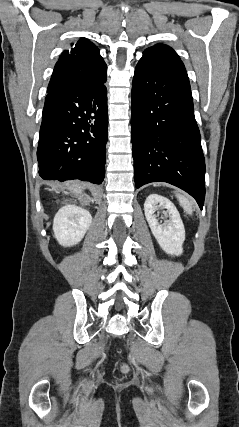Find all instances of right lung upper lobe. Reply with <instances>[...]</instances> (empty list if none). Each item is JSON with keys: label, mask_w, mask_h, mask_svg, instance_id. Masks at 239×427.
<instances>
[{"label": "right lung upper lobe", "mask_w": 239, "mask_h": 427, "mask_svg": "<svg viewBox=\"0 0 239 427\" xmlns=\"http://www.w3.org/2000/svg\"><path fill=\"white\" fill-rule=\"evenodd\" d=\"M106 70L107 65L100 56L99 49L89 40L81 38L71 50H65L61 54L54 67L48 90L68 81L98 77Z\"/></svg>", "instance_id": "cb5924a9"}]
</instances>
